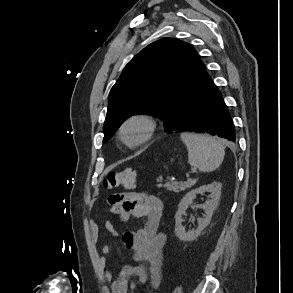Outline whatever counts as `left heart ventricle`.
I'll return each mask as SVG.
<instances>
[{"label":"left heart ventricle","mask_w":293,"mask_h":293,"mask_svg":"<svg viewBox=\"0 0 293 293\" xmlns=\"http://www.w3.org/2000/svg\"><path fill=\"white\" fill-rule=\"evenodd\" d=\"M144 126L140 123H132L125 129V138L129 142L140 139L144 134Z\"/></svg>","instance_id":"b2bd125f"}]
</instances>
